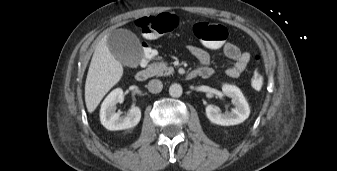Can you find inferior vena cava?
<instances>
[{
  "mask_svg": "<svg viewBox=\"0 0 337 171\" xmlns=\"http://www.w3.org/2000/svg\"><path fill=\"white\" fill-rule=\"evenodd\" d=\"M162 88H163V84L158 79H153V80L149 81V83H148V90L151 93H159V92L162 91Z\"/></svg>",
  "mask_w": 337,
  "mask_h": 171,
  "instance_id": "602c4592",
  "label": "inferior vena cava"
}]
</instances>
